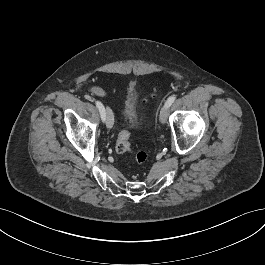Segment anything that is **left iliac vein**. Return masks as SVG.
<instances>
[{"instance_id":"obj_1","label":"left iliac vein","mask_w":265,"mask_h":265,"mask_svg":"<svg viewBox=\"0 0 265 265\" xmlns=\"http://www.w3.org/2000/svg\"><path fill=\"white\" fill-rule=\"evenodd\" d=\"M168 118V106L164 104L160 111V121L162 124L166 123Z\"/></svg>"}]
</instances>
